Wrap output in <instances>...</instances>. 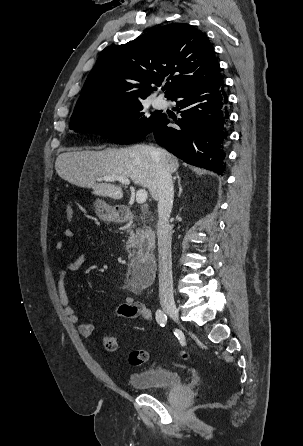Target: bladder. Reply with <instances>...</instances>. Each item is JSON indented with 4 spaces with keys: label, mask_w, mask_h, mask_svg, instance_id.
Instances as JSON below:
<instances>
[{
    "label": "bladder",
    "mask_w": 303,
    "mask_h": 446,
    "mask_svg": "<svg viewBox=\"0 0 303 446\" xmlns=\"http://www.w3.org/2000/svg\"><path fill=\"white\" fill-rule=\"evenodd\" d=\"M130 385L137 390H167L183 385L181 375L171 369L151 367L129 376Z\"/></svg>",
    "instance_id": "obj_1"
}]
</instances>
